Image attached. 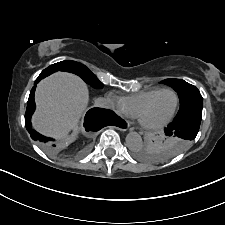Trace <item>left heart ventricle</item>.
I'll use <instances>...</instances> for the list:
<instances>
[{"label": "left heart ventricle", "instance_id": "left-heart-ventricle-1", "mask_svg": "<svg viewBox=\"0 0 225 225\" xmlns=\"http://www.w3.org/2000/svg\"><path fill=\"white\" fill-rule=\"evenodd\" d=\"M176 97L172 92L160 94L148 107L143 120L148 125H156L166 120L174 110Z\"/></svg>", "mask_w": 225, "mask_h": 225}]
</instances>
